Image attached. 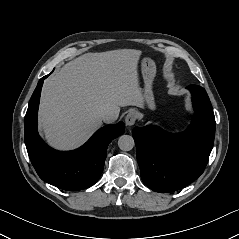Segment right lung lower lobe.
<instances>
[{
    "label": "right lung lower lobe",
    "instance_id": "1",
    "mask_svg": "<svg viewBox=\"0 0 239 239\" xmlns=\"http://www.w3.org/2000/svg\"><path fill=\"white\" fill-rule=\"evenodd\" d=\"M48 76V75H47ZM44 76L30 99L25 115V144L29 158L45 182L69 191L95 184L104 168L109 143L122 135L123 122L99 129L82 147L67 152L50 148L37 132V112Z\"/></svg>",
    "mask_w": 239,
    "mask_h": 239
}]
</instances>
